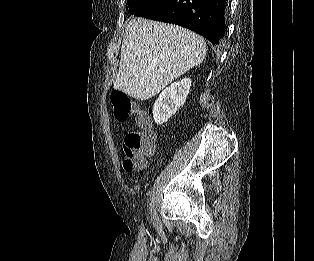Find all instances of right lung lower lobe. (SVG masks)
I'll return each instance as SVG.
<instances>
[{
  "label": "right lung lower lobe",
  "instance_id": "right-lung-lower-lobe-1",
  "mask_svg": "<svg viewBox=\"0 0 314 261\" xmlns=\"http://www.w3.org/2000/svg\"><path fill=\"white\" fill-rule=\"evenodd\" d=\"M227 0H166L143 17L188 28L219 44L226 25Z\"/></svg>",
  "mask_w": 314,
  "mask_h": 261
}]
</instances>
